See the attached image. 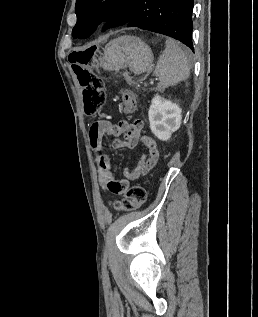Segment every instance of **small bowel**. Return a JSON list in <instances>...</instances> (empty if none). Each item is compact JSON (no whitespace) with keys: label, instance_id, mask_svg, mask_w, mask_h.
Wrapping results in <instances>:
<instances>
[{"label":"small bowel","instance_id":"c3829d8e","mask_svg":"<svg viewBox=\"0 0 258 317\" xmlns=\"http://www.w3.org/2000/svg\"><path fill=\"white\" fill-rule=\"evenodd\" d=\"M143 121L136 119L129 123L122 120L117 124L109 121H99L92 124L89 130L90 146L94 152V162L97 169L98 183L104 191L113 194L123 193L129 181L138 180L146 175L158 162L159 150L154 138L143 134ZM113 136L114 149H132L140 145L144 149L138 164L132 170H125L124 178L115 176L109 156L104 152V141Z\"/></svg>","mask_w":258,"mask_h":317}]
</instances>
